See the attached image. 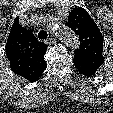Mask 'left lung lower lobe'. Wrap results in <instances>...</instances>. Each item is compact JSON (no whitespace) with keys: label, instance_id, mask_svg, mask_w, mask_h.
<instances>
[{"label":"left lung lower lobe","instance_id":"0a47b994","mask_svg":"<svg viewBox=\"0 0 113 113\" xmlns=\"http://www.w3.org/2000/svg\"><path fill=\"white\" fill-rule=\"evenodd\" d=\"M76 68L78 69V71H79L81 74H83V75H85V76H91V75H94L93 72H90V71H87V70H85V69L78 68V67H76Z\"/></svg>","mask_w":113,"mask_h":113}]
</instances>
